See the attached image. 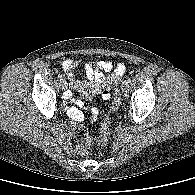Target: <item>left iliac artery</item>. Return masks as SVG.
I'll return each mask as SVG.
<instances>
[{
  "label": "left iliac artery",
  "instance_id": "1",
  "mask_svg": "<svg viewBox=\"0 0 195 195\" xmlns=\"http://www.w3.org/2000/svg\"><path fill=\"white\" fill-rule=\"evenodd\" d=\"M126 81H127L128 83H131V79H130V78H128Z\"/></svg>",
  "mask_w": 195,
  "mask_h": 195
}]
</instances>
